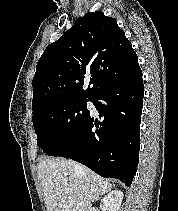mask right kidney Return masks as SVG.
<instances>
[{"label":"right kidney","instance_id":"obj_1","mask_svg":"<svg viewBox=\"0 0 178 211\" xmlns=\"http://www.w3.org/2000/svg\"><path fill=\"white\" fill-rule=\"evenodd\" d=\"M123 200V192L114 190L103 197L100 203L102 211H118Z\"/></svg>","mask_w":178,"mask_h":211}]
</instances>
